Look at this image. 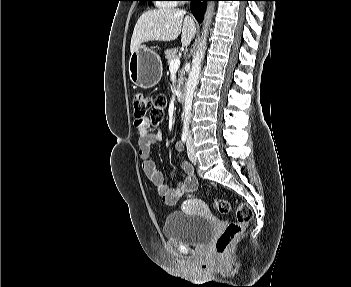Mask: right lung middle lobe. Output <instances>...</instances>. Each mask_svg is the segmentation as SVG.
<instances>
[{
	"label": "right lung middle lobe",
	"instance_id": "dd1d6c3e",
	"mask_svg": "<svg viewBox=\"0 0 351 287\" xmlns=\"http://www.w3.org/2000/svg\"><path fill=\"white\" fill-rule=\"evenodd\" d=\"M139 1H150V0H139Z\"/></svg>",
	"mask_w": 351,
	"mask_h": 287
}]
</instances>
